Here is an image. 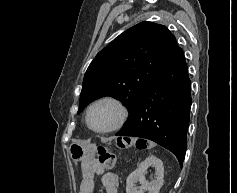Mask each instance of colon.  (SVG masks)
<instances>
[{"mask_svg":"<svg viewBox=\"0 0 237 193\" xmlns=\"http://www.w3.org/2000/svg\"><path fill=\"white\" fill-rule=\"evenodd\" d=\"M117 144L120 148H130L135 146L136 148H144L142 140L140 139H133L129 137L119 138ZM95 161L98 167L102 170H111L115 166L116 157L115 154L107 149L100 147L97 151V156Z\"/></svg>","mask_w":237,"mask_h":193,"instance_id":"1","label":"colon"}]
</instances>
